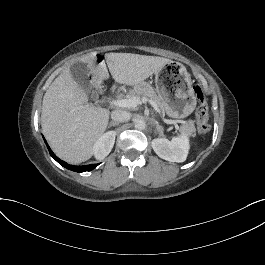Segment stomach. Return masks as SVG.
Here are the masks:
<instances>
[{"label":"stomach","instance_id":"obj_1","mask_svg":"<svg viewBox=\"0 0 265 265\" xmlns=\"http://www.w3.org/2000/svg\"><path fill=\"white\" fill-rule=\"evenodd\" d=\"M155 89L165 102L164 111L169 117L181 119L189 116L196 107V95L186 68L171 62L155 73Z\"/></svg>","mask_w":265,"mask_h":265}]
</instances>
